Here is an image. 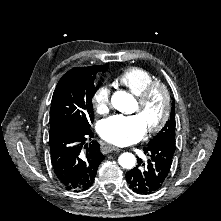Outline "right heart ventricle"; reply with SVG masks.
<instances>
[{"label":"right heart ventricle","instance_id":"e07e8e85","mask_svg":"<svg viewBox=\"0 0 221 221\" xmlns=\"http://www.w3.org/2000/svg\"><path fill=\"white\" fill-rule=\"evenodd\" d=\"M114 81L138 97L150 84L156 82L157 78L145 68L129 67L118 73Z\"/></svg>","mask_w":221,"mask_h":221}]
</instances>
